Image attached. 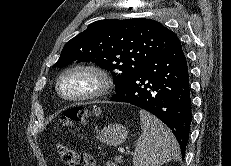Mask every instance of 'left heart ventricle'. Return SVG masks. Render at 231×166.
<instances>
[{"label": "left heart ventricle", "instance_id": "obj_1", "mask_svg": "<svg viewBox=\"0 0 231 166\" xmlns=\"http://www.w3.org/2000/svg\"><path fill=\"white\" fill-rule=\"evenodd\" d=\"M95 86L92 76L83 72H75L66 76L61 82L62 92L67 95L80 94Z\"/></svg>", "mask_w": 231, "mask_h": 166}]
</instances>
